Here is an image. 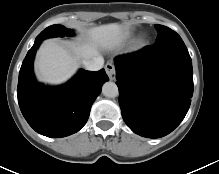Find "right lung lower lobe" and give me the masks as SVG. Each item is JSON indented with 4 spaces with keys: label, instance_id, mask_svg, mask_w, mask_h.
Returning a JSON list of instances; mask_svg holds the SVG:
<instances>
[{
    "label": "right lung lower lobe",
    "instance_id": "obj_1",
    "mask_svg": "<svg viewBox=\"0 0 219 174\" xmlns=\"http://www.w3.org/2000/svg\"><path fill=\"white\" fill-rule=\"evenodd\" d=\"M40 43L35 41L22 63L18 103L24 118L36 132L52 138L65 137L85 125L93 102L109 78L104 69L97 72L80 70L62 86L37 84L33 59Z\"/></svg>",
    "mask_w": 219,
    "mask_h": 174
}]
</instances>
